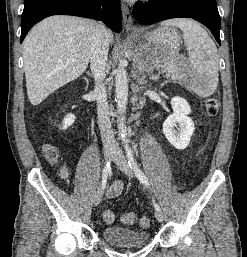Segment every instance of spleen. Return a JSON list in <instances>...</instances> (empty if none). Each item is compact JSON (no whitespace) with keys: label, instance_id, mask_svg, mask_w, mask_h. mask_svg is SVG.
Returning <instances> with one entry per match:
<instances>
[{"label":"spleen","instance_id":"1","mask_svg":"<svg viewBox=\"0 0 247 257\" xmlns=\"http://www.w3.org/2000/svg\"><path fill=\"white\" fill-rule=\"evenodd\" d=\"M161 25L182 30L193 72L194 90L202 97L212 95L219 80V61L216 45L208 33L200 24L187 18L167 20Z\"/></svg>","mask_w":247,"mask_h":257}]
</instances>
